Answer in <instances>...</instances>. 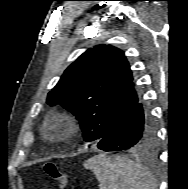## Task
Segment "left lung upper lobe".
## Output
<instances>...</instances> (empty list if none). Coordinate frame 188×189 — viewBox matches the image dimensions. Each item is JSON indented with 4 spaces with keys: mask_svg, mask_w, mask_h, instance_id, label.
Masks as SVG:
<instances>
[{
    "mask_svg": "<svg viewBox=\"0 0 188 189\" xmlns=\"http://www.w3.org/2000/svg\"><path fill=\"white\" fill-rule=\"evenodd\" d=\"M138 101L129 63L110 45L95 46L79 56L47 96L50 106L59 104L76 116L84 141L94 144Z\"/></svg>",
    "mask_w": 188,
    "mask_h": 189,
    "instance_id": "1",
    "label": "left lung upper lobe"
}]
</instances>
